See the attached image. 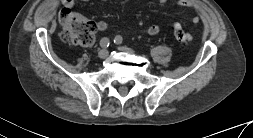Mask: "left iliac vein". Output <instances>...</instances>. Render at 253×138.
<instances>
[{
    "instance_id": "left-iliac-vein-1",
    "label": "left iliac vein",
    "mask_w": 253,
    "mask_h": 138,
    "mask_svg": "<svg viewBox=\"0 0 253 138\" xmlns=\"http://www.w3.org/2000/svg\"><path fill=\"white\" fill-rule=\"evenodd\" d=\"M118 49H119L120 51H122V52H128V53L133 52L132 49H130V48L126 47V46H119Z\"/></svg>"
}]
</instances>
